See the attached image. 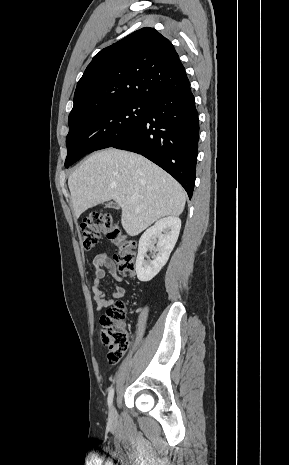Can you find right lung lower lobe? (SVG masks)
<instances>
[{
  "mask_svg": "<svg viewBox=\"0 0 289 465\" xmlns=\"http://www.w3.org/2000/svg\"><path fill=\"white\" fill-rule=\"evenodd\" d=\"M199 119L190 86L156 96L144 121L111 147L148 158L186 190L191 199L196 177Z\"/></svg>",
  "mask_w": 289,
  "mask_h": 465,
  "instance_id": "right-lung-lower-lobe-1",
  "label": "right lung lower lobe"
}]
</instances>
